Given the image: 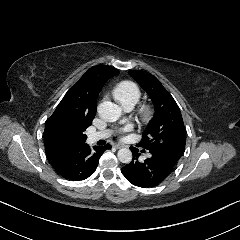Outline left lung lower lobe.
I'll return each instance as SVG.
<instances>
[{
  "label": "left lung lower lobe",
  "mask_w": 240,
  "mask_h": 240,
  "mask_svg": "<svg viewBox=\"0 0 240 240\" xmlns=\"http://www.w3.org/2000/svg\"><path fill=\"white\" fill-rule=\"evenodd\" d=\"M130 150L133 160L122 168V173L135 186L146 188L159 185L168 177L177 163L159 150H149L152 156L140 162L138 149L130 147Z\"/></svg>",
  "instance_id": "1"
}]
</instances>
